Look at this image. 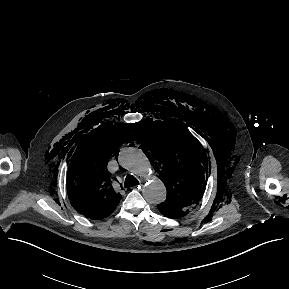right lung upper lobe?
Segmentation results:
<instances>
[{"label": "right lung upper lobe", "mask_w": 289, "mask_h": 289, "mask_svg": "<svg viewBox=\"0 0 289 289\" xmlns=\"http://www.w3.org/2000/svg\"><path fill=\"white\" fill-rule=\"evenodd\" d=\"M130 124L116 123L87 134L78 145L69 165L67 192L73 208L87 218L109 216L121 195L111 185L107 171L109 157L118 153L130 132Z\"/></svg>", "instance_id": "obj_1"}]
</instances>
